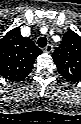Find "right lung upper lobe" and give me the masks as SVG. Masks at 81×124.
<instances>
[{"label": "right lung upper lobe", "instance_id": "right-lung-upper-lobe-1", "mask_svg": "<svg viewBox=\"0 0 81 124\" xmlns=\"http://www.w3.org/2000/svg\"><path fill=\"white\" fill-rule=\"evenodd\" d=\"M41 53L30 38L21 35L20 27L12 29L0 40V75L12 82L23 80Z\"/></svg>", "mask_w": 81, "mask_h": 124}]
</instances>
